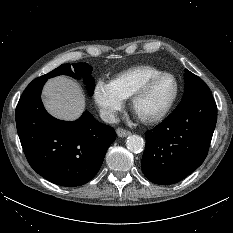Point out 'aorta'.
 Here are the masks:
<instances>
[{
	"mask_svg": "<svg viewBox=\"0 0 233 233\" xmlns=\"http://www.w3.org/2000/svg\"><path fill=\"white\" fill-rule=\"evenodd\" d=\"M126 146L131 152L140 153L143 151L145 142L141 136L131 135L127 138Z\"/></svg>",
	"mask_w": 233,
	"mask_h": 233,
	"instance_id": "obj_1",
	"label": "aorta"
}]
</instances>
